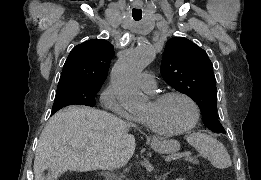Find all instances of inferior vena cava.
<instances>
[{
    "instance_id": "obj_1",
    "label": "inferior vena cava",
    "mask_w": 261,
    "mask_h": 180,
    "mask_svg": "<svg viewBox=\"0 0 261 180\" xmlns=\"http://www.w3.org/2000/svg\"><path fill=\"white\" fill-rule=\"evenodd\" d=\"M128 160L129 158H124V160H119L118 164L120 168H122V166H126V164H128Z\"/></svg>"
}]
</instances>
